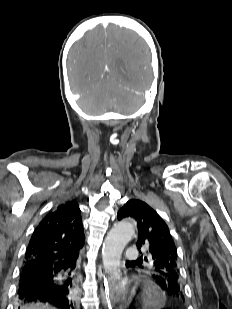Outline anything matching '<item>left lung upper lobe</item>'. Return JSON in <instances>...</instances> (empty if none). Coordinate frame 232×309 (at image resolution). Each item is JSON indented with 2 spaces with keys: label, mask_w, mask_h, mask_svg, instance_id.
Returning <instances> with one entry per match:
<instances>
[{
  "label": "left lung upper lobe",
  "mask_w": 232,
  "mask_h": 309,
  "mask_svg": "<svg viewBox=\"0 0 232 309\" xmlns=\"http://www.w3.org/2000/svg\"><path fill=\"white\" fill-rule=\"evenodd\" d=\"M131 217L137 221V248L143 251L138 259L151 266L152 278L161 286L168 297L181 298L177 248L168 226L149 205L141 200H129L117 214L118 220Z\"/></svg>",
  "instance_id": "obj_1"
}]
</instances>
